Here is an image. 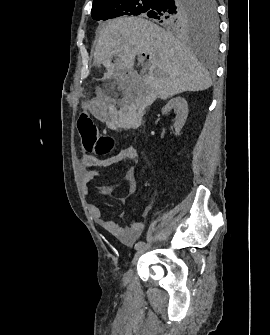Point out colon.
Returning <instances> with one entry per match:
<instances>
[{
	"mask_svg": "<svg viewBox=\"0 0 270 335\" xmlns=\"http://www.w3.org/2000/svg\"><path fill=\"white\" fill-rule=\"evenodd\" d=\"M76 122L82 123L83 146L89 154L104 157L115 150L117 144L115 138L101 134L92 116H77Z\"/></svg>",
	"mask_w": 270,
	"mask_h": 335,
	"instance_id": "colon-1",
	"label": "colon"
}]
</instances>
